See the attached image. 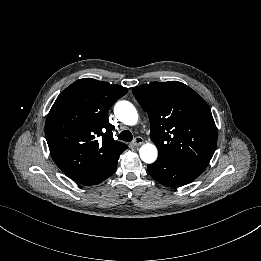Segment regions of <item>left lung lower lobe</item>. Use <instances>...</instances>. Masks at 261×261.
Here are the masks:
<instances>
[{
  "mask_svg": "<svg viewBox=\"0 0 261 261\" xmlns=\"http://www.w3.org/2000/svg\"><path fill=\"white\" fill-rule=\"evenodd\" d=\"M205 168L189 167L180 160L170 161L158 158L148 165V172L164 186L179 187L185 185L203 173Z\"/></svg>",
  "mask_w": 261,
  "mask_h": 261,
  "instance_id": "left-lung-lower-lobe-1",
  "label": "left lung lower lobe"
}]
</instances>
